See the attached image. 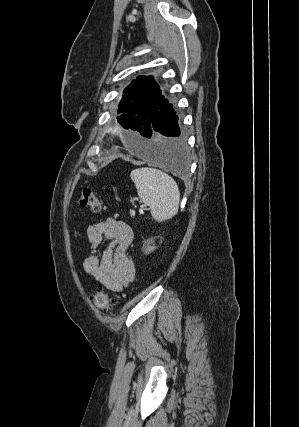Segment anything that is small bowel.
I'll return each instance as SVG.
<instances>
[{
    "label": "small bowel",
    "mask_w": 299,
    "mask_h": 427,
    "mask_svg": "<svg viewBox=\"0 0 299 427\" xmlns=\"http://www.w3.org/2000/svg\"><path fill=\"white\" fill-rule=\"evenodd\" d=\"M92 254L83 263L84 270L110 291L121 293L136 276L135 263L128 256L127 248L133 241L132 228L113 217L92 224L87 229ZM106 248L99 253L103 242Z\"/></svg>",
    "instance_id": "small-bowel-1"
}]
</instances>
